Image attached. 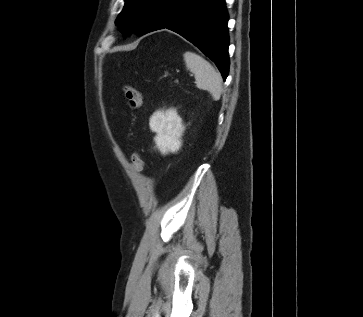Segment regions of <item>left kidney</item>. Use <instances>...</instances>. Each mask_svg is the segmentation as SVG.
<instances>
[{"label":"left kidney","instance_id":"5707ae66","mask_svg":"<svg viewBox=\"0 0 363 317\" xmlns=\"http://www.w3.org/2000/svg\"><path fill=\"white\" fill-rule=\"evenodd\" d=\"M150 127L157 133L155 143L162 153L177 152L180 149L184 127L176 111L169 109L156 112L150 120Z\"/></svg>","mask_w":363,"mask_h":317}]
</instances>
